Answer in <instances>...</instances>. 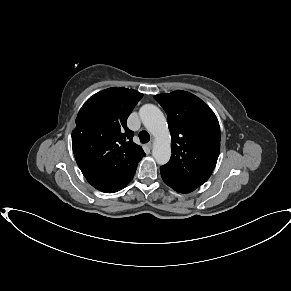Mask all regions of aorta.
Returning <instances> with one entry per match:
<instances>
[{"label": "aorta", "mask_w": 291, "mask_h": 291, "mask_svg": "<svg viewBox=\"0 0 291 291\" xmlns=\"http://www.w3.org/2000/svg\"><path fill=\"white\" fill-rule=\"evenodd\" d=\"M139 116L155 138L152 156L158 164H166L171 157V137L162 111L153 104H145L140 108Z\"/></svg>", "instance_id": "obj_1"}]
</instances>
